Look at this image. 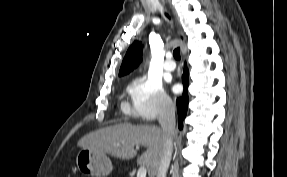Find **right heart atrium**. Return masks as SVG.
I'll use <instances>...</instances> for the list:
<instances>
[{
  "label": "right heart atrium",
  "instance_id": "d8ad5b80",
  "mask_svg": "<svg viewBox=\"0 0 287 177\" xmlns=\"http://www.w3.org/2000/svg\"><path fill=\"white\" fill-rule=\"evenodd\" d=\"M127 89L133 112L142 122H152L172 108L171 98L157 76H139L129 83Z\"/></svg>",
  "mask_w": 287,
  "mask_h": 177
}]
</instances>
